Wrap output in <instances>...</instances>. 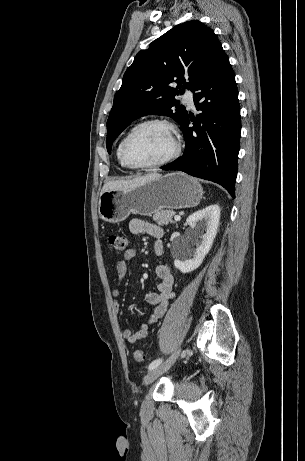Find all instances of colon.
Segmentation results:
<instances>
[{
	"instance_id": "obj_1",
	"label": "colon",
	"mask_w": 305,
	"mask_h": 461,
	"mask_svg": "<svg viewBox=\"0 0 305 461\" xmlns=\"http://www.w3.org/2000/svg\"><path fill=\"white\" fill-rule=\"evenodd\" d=\"M108 243L111 249L116 254H122L125 252L127 247V238L124 235L110 234L108 236ZM133 359L136 362H142L145 360V354L141 349L133 350Z\"/></svg>"
}]
</instances>
